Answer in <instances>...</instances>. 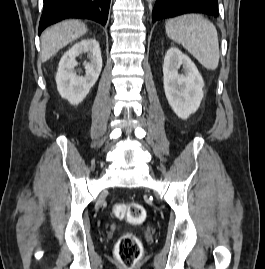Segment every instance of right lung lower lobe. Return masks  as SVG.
<instances>
[{"instance_id":"right-lung-lower-lobe-1","label":"right lung lower lobe","mask_w":265,"mask_h":269,"mask_svg":"<svg viewBox=\"0 0 265 269\" xmlns=\"http://www.w3.org/2000/svg\"><path fill=\"white\" fill-rule=\"evenodd\" d=\"M110 0H44L39 34L49 25L66 18L91 19L106 24Z\"/></svg>"}]
</instances>
